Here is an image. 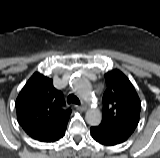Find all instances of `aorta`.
Segmentation results:
<instances>
[{
    "label": "aorta",
    "mask_w": 160,
    "mask_h": 158,
    "mask_svg": "<svg viewBox=\"0 0 160 158\" xmlns=\"http://www.w3.org/2000/svg\"><path fill=\"white\" fill-rule=\"evenodd\" d=\"M73 90L85 100H89L92 96L91 85L89 81L83 77L75 76L70 80ZM86 122L91 126H97L101 123L102 113L99 109H89L85 115Z\"/></svg>",
    "instance_id": "762f6f07"
}]
</instances>
